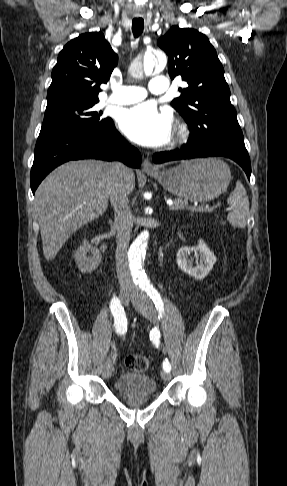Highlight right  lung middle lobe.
Returning <instances> with one entry per match:
<instances>
[{"label": "right lung middle lobe", "instance_id": "1", "mask_svg": "<svg viewBox=\"0 0 287 486\" xmlns=\"http://www.w3.org/2000/svg\"><path fill=\"white\" fill-rule=\"evenodd\" d=\"M99 99L71 101L47 107L39 137L72 132H88L103 127L110 118L102 117L94 106Z\"/></svg>", "mask_w": 287, "mask_h": 486}]
</instances>
